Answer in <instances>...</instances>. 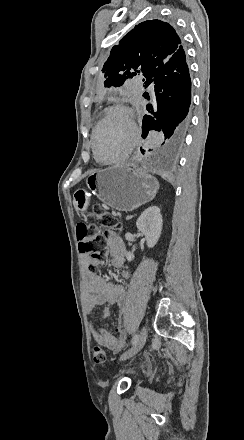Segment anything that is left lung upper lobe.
<instances>
[{
  "label": "left lung upper lobe",
  "mask_w": 244,
  "mask_h": 440,
  "mask_svg": "<svg viewBox=\"0 0 244 440\" xmlns=\"http://www.w3.org/2000/svg\"><path fill=\"white\" fill-rule=\"evenodd\" d=\"M184 58L181 39L169 23L144 21L112 48L102 70L105 87L121 86L126 79L140 74L145 76L146 84L163 66H172Z\"/></svg>",
  "instance_id": "left-lung-upper-lobe-1"
}]
</instances>
